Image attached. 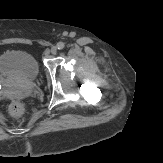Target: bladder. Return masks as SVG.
I'll return each instance as SVG.
<instances>
[{
  "instance_id": "31cf9c89",
  "label": "bladder",
  "mask_w": 163,
  "mask_h": 163,
  "mask_svg": "<svg viewBox=\"0 0 163 163\" xmlns=\"http://www.w3.org/2000/svg\"><path fill=\"white\" fill-rule=\"evenodd\" d=\"M40 74L37 59L29 52L9 50L0 55V76L10 79L32 81Z\"/></svg>"
}]
</instances>
